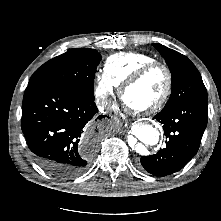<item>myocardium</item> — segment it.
<instances>
[{
	"instance_id": "1",
	"label": "myocardium",
	"mask_w": 221,
	"mask_h": 221,
	"mask_svg": "<svg viewBox=\"0 0 221 221\" xmlns=\"http://www.w3.org/2000/svg\"><path fill=\"white\" fill-rule=\"evenodd\" d=\"M157 68L162 69L166 75V87H165L163 94L156 102H154L152 105H150L144 109L131 108L126 103V100H125V94H126L127 89L129 87H131L132 85L136 84L138 81H140L149 72H151L152 70L157 69ZM172 88H173V77H172V73H171V70L169 69V67L160 61H152V62L146 63V64L142 65L140 68H138L122 84L121 89H120V96H121V99L124 102L125 106L128 107L130 109V111H132L135 115L145 116V115H150V114L156 113L164 107V105L167 103V101L170 98V95L172 93Z\"/></svg>"
}]
</instances>
